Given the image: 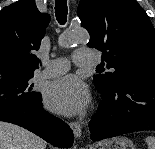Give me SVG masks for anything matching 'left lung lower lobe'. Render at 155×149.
<instances>
[{"label":"left lung lower lobe","instance_id":"obj_1","mask_svg":"<svg viewBox=\"0 0 155 149\" xmlns=\"http://www.w3.org/2000/svg\"><path fill=\"white\" fill-rule=\"evenodd\" d=\"M97 88L102 101L89 124L93 141L155 130V73L136 74L114 87Z\"/></svg>","mask_w":155,"mask_h":149}]
</instances>
